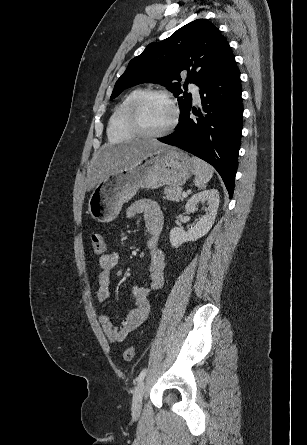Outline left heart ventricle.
Returning a JSON list of instances; mask_svg holds the SVG:
<instances>
[{"label":"left heart ventricle","instance_id":"obj_1","mask_svg":"<svg viewBox=\"0 0 307 445\" xmlns=\"http://www.w3.org/2000/svg\"><path fill=\"white\" fill-rule=\"evenodd\" d=\"M140 115L144 127L150 132L157 133L169 125L173 113L171 106L165 100L151 98L143 104Z\"/></svg>","mask_w":307,"mask_h":445}]
</instances>
